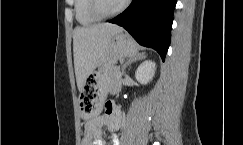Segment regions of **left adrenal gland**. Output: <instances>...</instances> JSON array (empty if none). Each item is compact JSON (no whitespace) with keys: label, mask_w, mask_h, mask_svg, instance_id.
<instances>
[{"label":"left adrenal gland","mask_w":243,"mask_h":145,"mask_svg":"<svg viewBox=\"0 0 243 145\" xmlns=\"http://www.w3.org/2000/svg\"><path fill=\"white\" fill-rule=\"evenodd\" d=\"M144 58H145L144 54L129 58L123 66V69H122L123 73H125V69L127 66L131 65L133 62H136V61L144 59Z\"/></svg>","instance_id":"obj_1"}]
</instances>
